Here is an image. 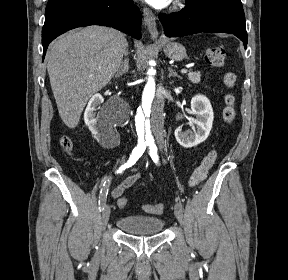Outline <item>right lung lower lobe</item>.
Masks as SVG:
<instances>
[{
    "instance_id": "right-lung-lower-lobe-1",
    "label": "right lung lower lobe",
    "mask_w": 288,
    "mask_h": 280,
    "mask_svg": "<svg viewBox=\"0 0 288 280\" xmlns=\"http://www.w3.org/2000/svg\"><path fill=\"white\" fill-rule=\"evenodd\" d=\"M141 19L132 0H49L42 29L43 59L52 40L76 27L105 25L140 39Z\"/></svg>"
}]
</instances>
